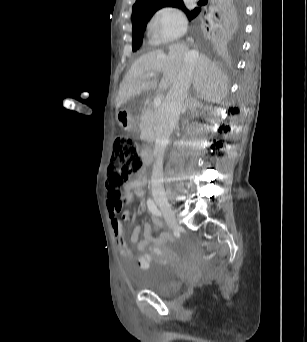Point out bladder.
Wrapping results in <instances>:
<instances>
[{"label": "bladder", "instance_id": "obj_1", "mask_svg": "<svg viewBox=\"0 0 307 342\" xmlns=\"http://www.w3.org/2000/svg\"><path fill=\"white\" fill-rule=\"evenodd\" d=\"M180 274L171 264L154 260L146 268L143 287L158 294H168L180 287Z\"/></svg>", "mask_w": 307, "mask_h": 342}]
</instances>
